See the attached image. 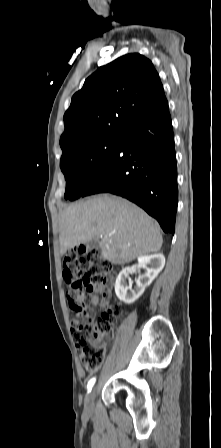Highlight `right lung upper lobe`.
I'll use <instances>...</instances> for the list:
<instances>
[{
	"label": "right lung upper lobe",
	"instance_id": "1",
	"mask_svg": "<svg viewBox=\"0 0 221 448\" xmlns=\"http://www.w3.org/2000/svg\"><path fill=\"white\" fill-rule=\"evenodd\" d=\"M165 99L159 75L143 55L127 54L100 67L73 95L64 114L62 157L87 142L119 135Z\"/></svg>",
	"mask_w": 221,
	"mask_h": 448
}]
</instances>
